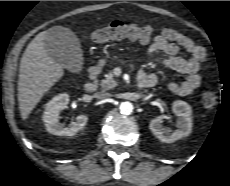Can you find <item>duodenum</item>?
Returning <instances> with one entry per match:
<instances>
[{
	"label": "duodenum",
	"instance_id": "1",
	"mask_svg": "<svg viewBox=\"0 0 230 186\" xmlns=\"http://www.w3.org/2000/svg\"><path fill=\"white\" fill-rule=\"evenodd\" d=\"M90 81L85 84V90L88 93H93L98 88V77L101 74V67L99 65H93L89 68ZM137 86L141 89L151 86V82L147 79L138 80Z\"/></svg>",
	"mask_w": 230,
	"mask_h": 186
}]
</instances>
